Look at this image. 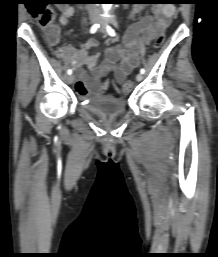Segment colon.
<instances>
[{"instance_id": "obj_1", "label": "colon", "mask_w": 218, "mask_h": 257, "mask_svg": "<svg viewBox=\"0 0 218 257\" xmlns=\"http://www.w3.org/2000/svg\"><path fill=\"white\" fill-rule=\"evenodd\" d=\"M25 10H34L33 14L37 17L39 24L47 30L48 39L51 43H55L57 41V29L53 25L54 12L48 7H43V5H25ZM163 39H165V34H158V38L154 41V47H160ZM123 89L125 93L130 92L132 82H126ZM101 90L103 94H109L110 98H119L121 93L118 82H114L113 79H105L104 82H101Z\"/></svg>"}]
</instances>
